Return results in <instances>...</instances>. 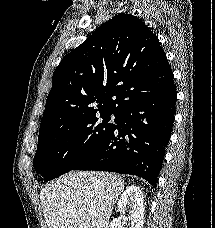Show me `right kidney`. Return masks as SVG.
<instances>
[{"label":"right kidney","mask_w":215,"mask_h":228,"mask_svg":"<svg viewBox=\"0 0 215 228\" xmlns=\"http://www.w3.org/2000/svg\"><path fill=\"white\" fill-rule=\"evenodd\" d=\"M117 206L118 212H120L122 216L121 218H114L109 228H122L127 220L131 222V228H143L145 204L140 188H137V186H129V188H126ZM126 210H129L128 218L123 216V214H126Z\"/></svg>","instance_id":"right-kidney-1"}]
</instances>
